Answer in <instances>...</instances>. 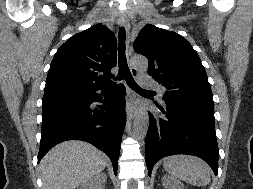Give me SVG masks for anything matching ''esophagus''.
Instances as JSON below:
<instances>
[{
    "label": "esophagus",
    "mask_w": 253,
    "mask_h": 189,
    "mask_svg": "<svg viewBox=\"0 0 253 189\" xmlns=\"http://www.w3.org/2000/svg\"><path fill=\"white\" fill-rule=\"evenodd\" d=\"M119 25L126 29L127 32L130 30V24L125 16H121L119 18ZM131 52L127 50V55L130 56ZM131 74L133 77H137L138 72L133 67L130 68ZM136 114V108L133 105V98L130 99V102L127 103L126 106V115L128 119H133Z\"/></svg>",
    "instance_id": "obj_1"
}]
</instances>
